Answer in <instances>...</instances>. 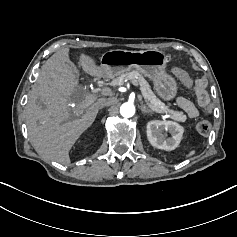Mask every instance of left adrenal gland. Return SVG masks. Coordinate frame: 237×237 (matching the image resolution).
I'll list each match as a JSON object with an SVG mask.
<instances>
[{
	"instance_id": "obj_1",
	"label": "left adrenal gland",
	"mask_w": 237,
	"mask_h": 237,
	"mask_svg": "<svg viewBox=\"0 0 237 237\" xmlns=\"http://www.w3.org/2000/svg\"><path fill=\"white\" fill-rule=\"evenodd\" d=\"M140 109L143 113H149L152 112V110L148 109L142 102H141V106Z\"/></svg>"
}]
</instances>
